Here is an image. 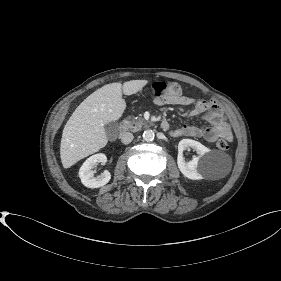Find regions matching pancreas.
Returning <instances> with one entry per match:
<instances>
[{
  "label": "pancreas",
  "instance_id": "pancreas-1",
  "mask_svg": "<svg viewBox=\"0 0 281 281\" xmlns=\"http://www.w3.org/2000/svg\"><path fill=\"white\" fill-rule=\"evenodd\" d=\"M124 123L126 127L132 132L140 131L142 128L147 126V123L143 118L137 117L132 118L131 120H125Z\"/></svg>",
  "mask_w": 281,
  "mask_h": 281
}]
</instances>
